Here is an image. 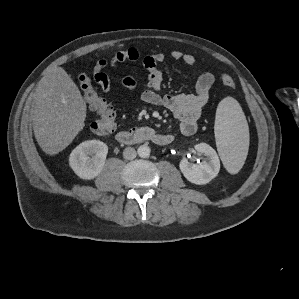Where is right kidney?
Wrapping results in <instances>:
<instances>
[{
    "label": "right kidney",
    "mask_w": 299,
    "mask_h": 299,
    "mask_svg": "<svg viewBox=\"0 0 299 299\" xmlns=\"http://www.w3.org/2000/svg\"><path fill=\"white\" fill-rule=\"evenodd\" d=\"M108 146L99 140H88L79 144L69 156V165L75 174L84 180H91L102 171Z\"/></svg>",
    "instance_id": "1"
}]
</instances>
